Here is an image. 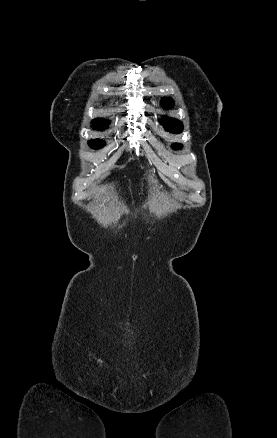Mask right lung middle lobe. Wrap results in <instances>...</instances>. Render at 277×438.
I'll return each instance as SVG.
<instances>
[{
	"mask_svg": "<svg viewBox=\"0 0 277 438\" xmlns=\"http://www.w3.org/2000/svg\"><path fill=\"white\" fill-rule=\"evenodd\" d=\"M96 129H105V128H96ZM89 145L94 149H99L105 145V143L102 140L94 139L89 141Z\"/></svg>",
	"mask_w": 277,
	"mask_h": 438,
	"instance_id": "right-lung-middle-lobe-1",
	"label": "right lung middle lobe"
}]
</instances>
